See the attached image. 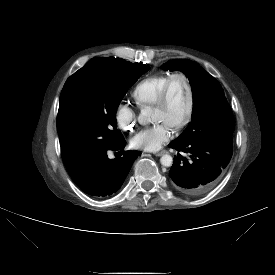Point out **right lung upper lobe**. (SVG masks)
I'll use <instances>...</instances> for the list:
<instances>
[{
	"label": "right lung upper lobe",
	"mask_w": 275,
	"mask_h": 275,
	"mask_svg": "<svg viewBox=\"0 0 275 275\" xmlns=\"http://www.w3.org/2000/svg\"><path fill=\"white\" fill-rule=\"evenodd\" d=\"M120 61H125V60L120 59V58H114V57H108V58L96 57V58L91 59L88 63H86L85 66L82 67V69L93 64V63H96V62H120ZM72 164H73L72 161L65 163L66 168L70 167Z\"/></svg>",
	"instance_id": "obj_1"
}]
</instances>
